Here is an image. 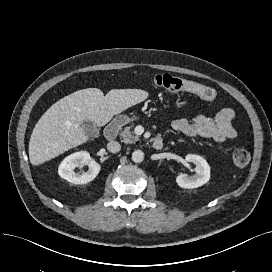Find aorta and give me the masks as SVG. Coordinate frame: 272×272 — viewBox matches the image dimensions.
<instances>
[{"label":"aorta","mask_w":272,"mask_h":272,"mask_svg":"<svg viewBox=\"0 0 272 272\" xmlns=\"http://www.w3.org/2000/svg\"><path fill=\"white\" fill-rule=\"evenodd\" d=\"M132 160L135 163H141L144 160V153L141 150H135L132 153Z\"/></svg>","instance_id":"1"}]
</instances>
